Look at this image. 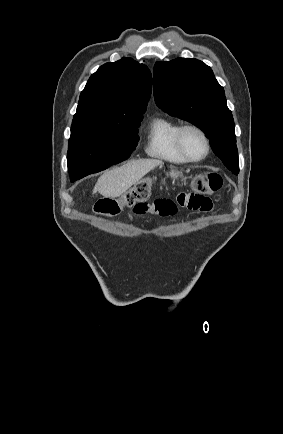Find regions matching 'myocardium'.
<instances>
[{
	"instance_id": "1",
	"label": "myocardium",
	"mask_w": 283,
	"mask_h": 434,
	"mask_svg": "<svg viewBox=\"0 0 283 434\" xmlns=\"http://www.w3.org/2000/svg\"><path fill=\"white\" fill-rule=\"evenodd\" d=\"M187 130H195L203 138L204 143H205V152H204V154L202 156H200V157H192V156H190L187 153V151H186V149H185V147L183 145V134ZM175 142H176V147H177L179 153L188 162H200V161L204 160L209 155L210 150H211V144H210V140H209V137H208L207 133L200 126H198L196 124H193V123H188V124L180 125V127L178 128V130L176 132Z\"/></svg>"
}]
</instances>
